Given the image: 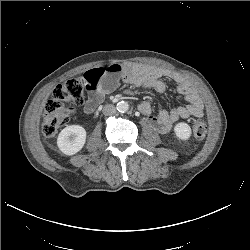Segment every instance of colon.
<instances>
[{"label":"colon","instance_id":"colon-1","mask_svg":"<svg viewBox=\"0 0 250 250\" xmlns=\"http://www.w3.org/2000/svg\"><path fill=\"white\" fill-rule=\"evenodd\" d=\"M86 83L81 78L70 79L57 85L48 99L43 114L42 131L45 136H53L58 128L66 124L76 109L84 104ZM192 135L203 140L207 134V124L203 120H191Z\"/></svg>","mask_w":250,"mask_h":250}]
</instances>
